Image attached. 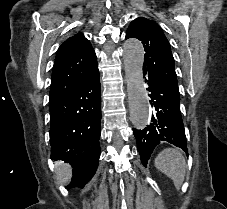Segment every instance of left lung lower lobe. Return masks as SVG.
Returning a JSON list of instances; mask_svg holds the SVG:
<instances>
[{"label":"left lung lower lobe","instance_id":"1","mask_svg":"<svg viewBox=\"0 0 227 209\" xmlns=\"http://www.w3.org/2000/svg\"><path fill=\"white\" fill-rule=\"evenodd\" d=\"M145 76V74H144ZM151 106L155 109L151 123L143 130L133 129L141 162L146 167L154 148L163 142L171 143L188 154L184 125L180 112V94L163 87L159 80L147 76Z\"/></svg>","mask_w":227,"mask_h":209}]
</instances>
